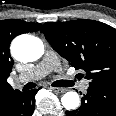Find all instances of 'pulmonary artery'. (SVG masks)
I'll return each mask as SVG.
<instances>
[{
  "instance_id": "1",
  "label": "pulmonary artery",
  "mask_w": 116,
  "mask_h": 116,
  "mask_svg": "<svg viewBox=\"0 0 116 116\" xmlns=\"http://www.w3.org/2000/svg\"><path fill=\"white\" fill-rule=\"evenodd\" d=\"M52 71L62 73V67L55 53L53 51H47L44 58L37 65L28 72L20 74L16 80L22 83L28 79H40ZM79 88L84 92L87 91L89 88V80H81Z\"/></svg>"
}]
</instances>
